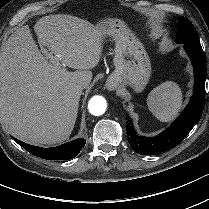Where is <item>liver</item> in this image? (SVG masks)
Wrapping results in <instances>:
<instances>
[{"label":"liver","mask_w":209,"mask_h":209,"mask_svg":"<svg viewBox=\"0 0 209 209\" xmlns=\"http://www.w3.org/2000/svg\"><path fill=\"white\" fill-rule=\"evenodd\" d=\"M34 31L62 66L76 71L50 63L38 50L29 27L18 28L0 52V118L20 140L62 143L77 118L81 94L75 86H89L90 70L100 61L105 36L88 21L65 14L40 18Z\"/></svg>","instance_id":"obj_1"}]
</instances>
